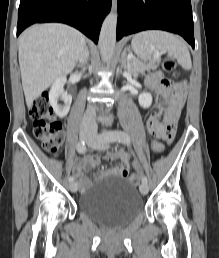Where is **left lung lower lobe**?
<instances>
[{
    "mask_svg": "<svg viewBox=\"0 0 219 258\" xmlns=\"http://www.w3.org/2000/svg\"><path fill=\"white\" fill-rule=\"evenodd\" d=\"M148 29L180 34L194 48L190 0H118L117 40Z\"/></svg>",
    "mask_w": 219,
    "mask_h": 258,
    "instance_id": "obj_1",
    "label": "left lung lower lobe"
}]
</instances>
